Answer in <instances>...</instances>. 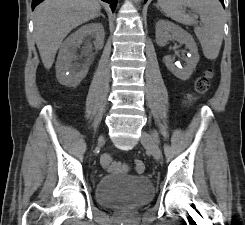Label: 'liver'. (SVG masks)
<instances>
[{"instance_id":"liver-1","label":"liver","mask_w":245,"mask_h":225,"mask_svg":"<svg viewBox=\"0 0 245 225\" xmlns=\"http://www.w3.org/2000/svg\"><path fill=\"white\" fill-rule=\"evenodd\" d=\"M98 0H45L34 11V35L46 69L53 65L63 39L77 26L96 18Z\"/></svg>"}]
</instances>
